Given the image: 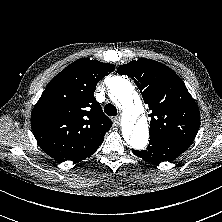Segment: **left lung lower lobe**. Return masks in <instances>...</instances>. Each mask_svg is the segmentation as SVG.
<instances>
[{
  "label": "left lung lower lobe",
  "instance_id": "1",
  "mask_svg": "<svg viewBox=\"0 0 222 222\" xmlns=\"http://www.w3.org/2000/svg\"><path fill=\"white\" fill-rule=\"evenodd\" d=\"M192 142L168 137H150V144L146 150H132L133 153L153 164L171 161L186 151Z\"/></svg>",
  "mask_w": 222,
  "mask_h": 222
}]
</instances>
